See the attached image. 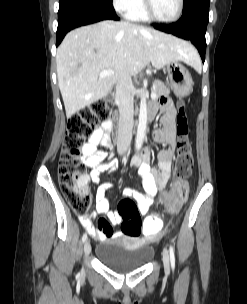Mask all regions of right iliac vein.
<instances>
[{"instance_id": "63e3f726", "label": "right iliac vein", "mask_w": 247, "mask_h": 304, "mask_svg": "<svg viewBox=\"0 0 247 304\" xmlns=\"http://www.w3.org/2000/svg\"><path fill=\"white\" fill-rule=\"evenodd\" d=\"M84 252L86 257L91 253V244L89 242V240H86L84 243Z\"/></svg>"}]
</instances>
